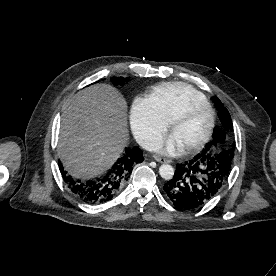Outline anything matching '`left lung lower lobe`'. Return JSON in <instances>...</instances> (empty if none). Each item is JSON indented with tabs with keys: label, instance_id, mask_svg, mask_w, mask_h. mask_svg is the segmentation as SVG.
Here are the masks:
<instances>
[{
	"label": "left lung lower lobe",
	"instance_id": "obj_1",
	"mask_svg": "<svg viewBox=\"0 0 276 276\" xmlns=\"http://www.w3.org/2000/svg\"><path fill=\"white\" fill-rule=\"evenodd\" d=\"M222 179L211 159L201 153L176 165L175 175L164 185V191L178 208H199L219 192Z\"/></svg>",
	"mask_w": 276,
	"mask_h": 276
}]
</instances>
